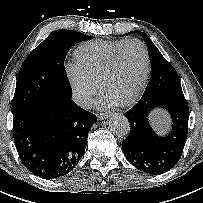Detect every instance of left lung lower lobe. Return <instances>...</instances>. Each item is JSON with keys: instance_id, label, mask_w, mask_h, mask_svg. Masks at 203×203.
Returning <instances> with one entry per match:
<instances>
[{"instance_id": "1", "label": "left lung lower lobe", "mask_w": 203, "mask_h": 203, "mask_svg": "<svg viewBox=\"0 0 203 203\" xmlns=\"http://www.w3.org/2000/svg\"><path fill=\"white\" fill-rule=\"evenodd\" d=\"M167 110L172 129L158 136L150 127L148 113L155 108ZM130 134L122 143L123 153L138 170L156 175L167 172L179 161L188 134L189 107L184 98L138 102L125 114Z\"/></svg>"}]
</instances>
